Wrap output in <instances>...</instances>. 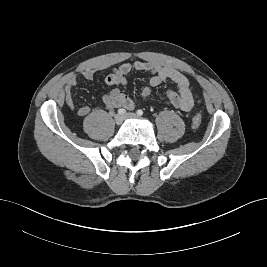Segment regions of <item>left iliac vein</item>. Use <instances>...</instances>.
Here are the masks:
<instances>
[{
    "label": "left iliac vein",
    "mask_w": 267,
    "mask_h": 267,
    "mask_svg": "<svg viewBox=\"0 0 267 267\" xmlns=\"http://www.w3.org/2000/svg\"><path fill=\"white\" fill-rule=\"evenodd\" d=\"M136 117H137V115L134 114V113H128V114L125 115V118H126V119L136 118Z\"/></svg>",
    "instance_id": "4c4485c4"
}]
</instances>
